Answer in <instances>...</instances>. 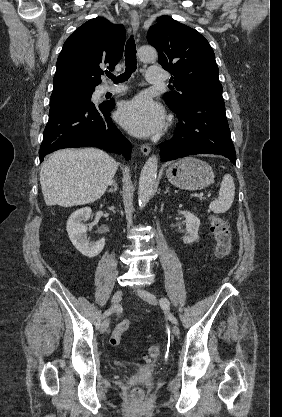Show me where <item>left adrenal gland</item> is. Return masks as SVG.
Instances as JSON below:
<instances>
[{"instance_id":"obj_1","label":"left adrenal gland","mask_w":282,"mask_h":417,"mask_svg":"<svg viewBox=\"0 0 282 417\" xmlns=\"http://www.w3.org/2000/svg\"><path fill=\"white\" fill-rule=\"evenodd\" d=\"M169 188H170V186H167V188H166V190H165L164 194H166V192H170Z\"/></svg>"}]
</instances>
